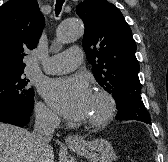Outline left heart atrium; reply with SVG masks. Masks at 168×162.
I'll return each instance as SVG.
<instances>
[{"label":"left heart atrium","instance_id":"1","mask_svg":"<svg viewBox=\"0 0 168 162\" xmlns=\"http://www.w3.org/2000/svg\"><path fill=\"white\" fill-rule=\"evenodd\" d=\"M43 93L51 106L66 118L77 121L86 119L92 93L84 77L50 80Z\"/></svg>","mask_w":168,"mask_h":162}]
</instances>
